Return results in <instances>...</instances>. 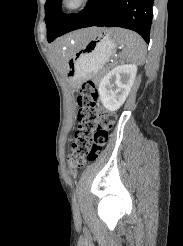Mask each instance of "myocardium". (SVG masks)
Returning <instances> with one entry per match:
<instances>
[{
	"label": "myocardium",
	"mask_w": 183,
	"mask_h": 246,
	"mask_svg": "<svg viewBox=\"0 0 183 246\" xmlns=\"http://www.w3.org/2000/svg\"><path fill=\"white\" fill-rule=\"evenodd\" d=\"M90 0H62L60 9L63 12L72 13L83 9Z\"/></svg>",
	"instance_id": "myocardium-1"
}]
</instances>
